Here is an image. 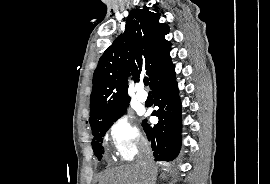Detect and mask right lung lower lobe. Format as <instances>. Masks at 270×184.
<instances>
[{
  "label": "right lung lower lobe",
  "instance_id": "obj_1",
  "mask_svg": "<svg viewBox=\"0 0 270 184\" xmlns=\"http://www.w3.org/2000/svg\"><path fill=\"white\" fill-rule=\"evenodd\" d=\"M155 105L159 110L152 115L158 117L157 125L143 121L142 126L155 157V161H172L181 147V102L175 80L174 65H171L151 85Z\"/></svg>",
  "mask_w": 270,
  "mask_h": 184
}]
</instances>
